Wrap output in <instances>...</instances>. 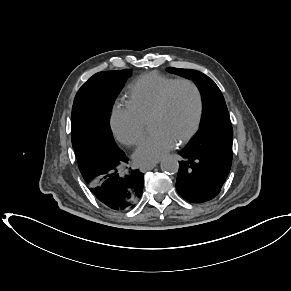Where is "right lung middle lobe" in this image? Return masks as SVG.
Listing matches in <instances>:
<instances>
[{
    "mask_svg": "<svg viewBox=\"0 0 291 291\" xmlns=\"http://www.w3.org/2000/svg\"><path fill=\"white\" fill-rule=\"evenodd\" d=\"M130 74L129 69L97 73L77 92L72 107L71 136L80 170L124 154L113 139L110 112Z\"/></svg>",
    "mask_w": 291,
    "mask_h": 291,
    "instance_id": "obj_1",
    "label": "right lung middle lobe"
}]
</instances>
